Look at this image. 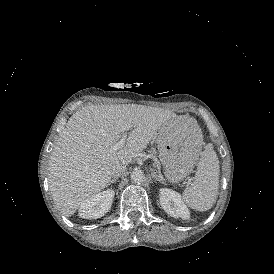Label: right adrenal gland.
Here are the masks:
<instances>
[{
	"mask_svg": "<svg viewBox=\"0 0 274 274\" xmlns=\"http://www.w3.org/2000/svg\"><path fill=\"white\" fill-rule=\"evenodd\" d=\"M116 181H117V179L114 178V179H112V180L110 181V183H115Z\"/></svg>",
	"mask_w": 274,
	"mask_h": 274,
	"instance_id": "2a0ac1e0",
	"label": "right adrenal gland"
}]
</instances>
